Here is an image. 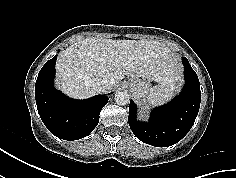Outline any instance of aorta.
<instances>
[{"mask_svg": "<svg viewBox=\"0 0 236 178\" xmlns=\"http://www.w3.org/2000/svg\"><path fill=\"white\" fill-rule=\"evenodd\" d=\"M114 100L118 105L128 104L130 97L126 91H118L115 93Z\"/></svg>", "mask_w": 236, "mask_h": 178, "instance_id": "1", "label": "aorta"}]
</instances>
